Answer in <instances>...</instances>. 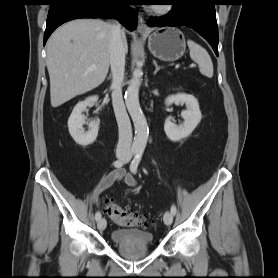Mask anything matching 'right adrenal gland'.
Segmentation results:
<instances>
[{"mask_svg":"<svg viewBox=\"0 0 278 278\" xmlns=\"http://www.w3.org/2000/svg\"><path fill=\"white\" fill-rule=\"evenodd\" d=\"M111 79V76L108 77V80Z\"/></svg>","mask_w":278,"mask_h":278,"instance_id":"obj_1","label":"right adrenal gland"}]
</instances>
